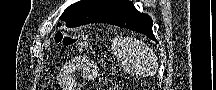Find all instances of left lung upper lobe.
I'll return each instance as SVG.
<instances>
[{
	"instance_id": "1",
	"label": "left lung upper lobe",
	"mask_w": 216,
	"mask_h": 90,
	"mask_svg": "<svg viewBox=\"0 0 216 90\" xmlns=\"http://www.w3.org/2000/svg\"><path fill=\"white\" fill-rule=\"evenodd\" d=\"M127 3L124 0H81L66 8L60 19L67 27L90 24Z\"/></svg>"
}]
</instances>
